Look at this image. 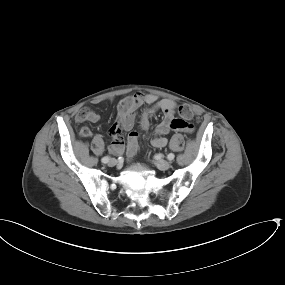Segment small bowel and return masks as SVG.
I'll return each instance as SVG.
<instances>
[{
    "instance_id": "small-bowel-1",
    "label": "small bowel",
    "mask_w": 285,
    "mask_h": 285,
    "mask_svg": "<svg viewBox=\"0 0 285 285\" xmlns=\"http://www.w3.org/2000/svg\"><path fill=\"white\" fill-rule=\"evenodd\" d=\"M144 104H147L149 107L141 115L140 123L143 130L149 128L150 119L156 112L161 111L163 113V119L155 128L156 137L152 140V144L155 147L162 148L167 145V138L164 135L169 132L187 130L188 124L175 118L177 103L173 99L164 98L158 100L154 94L136 92L122 98L118 103L117 113L110 128L113 136V143L110 146V150L115 154H120L124 151L123 131L132 130L135 123L136 111ZM75 121L77 123H97L100 121V115L93 109H81L75 114ZM80 134L83 137H89L92 132L89 127L84 126L80 129ZM138 149V134L130 132L126 146L128 159H132L137 154Z\"/></svg>"
}]
</instances>
